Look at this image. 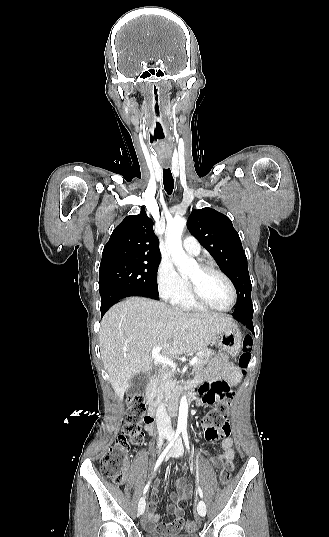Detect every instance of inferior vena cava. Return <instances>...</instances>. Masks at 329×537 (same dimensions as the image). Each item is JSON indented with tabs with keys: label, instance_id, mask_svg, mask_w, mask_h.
Wrapping results in <instances>:
<instances>
[{
	"label": "inferior vena cava",
	"instance_id": "inferior-vena-cava-1",
	"mask_svg": "<svg viewBox=\"0 0 329 537\" xmlns=\"http://www.w3.org/2000/svg\"><path fill=\"white\" fill-rule=\"evenodd\" d=\"M165 406L163 403L159 404L156 411V425L159 432H167L171 427V419Z\"/></svg>",
	"mask_w": 329,
	"mask_h": 537
}]
</instances>
